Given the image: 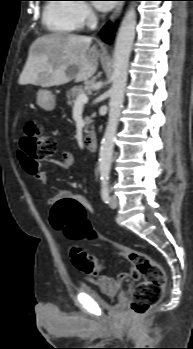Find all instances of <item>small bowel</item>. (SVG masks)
Listing matches in <instances>:
<instances>
[{
  "instance_id": "c3829d8e",
  "label": "small bowel",
  "mask_w": 193,
  "mask_h": 349,
  "mask_svg": "<svg viewBox=\"0 0 193 349\" xmlns=\"http://www.w3.org/2000/svg\"><path fill=\"white\" fill-rule=\"evenodd\" d=\"M19 158L23 168L28 174L33 176L38 181L45 183L46 174L44 171H42L39 167L35 170L29 169L26 165V160L21 153ZM49 162L56 164L64 169H71L74 165L75 159L70 151L64 150L62 152V158L60 160L52 159ZM64 200H74L80 203L86 210L90 212L92 211L91 203L85 195L73 192L68 189H62L58 191V193L55 196L47 200V204H55ZM138 276L139 274L137 270L134 267H131L128 271L118 273L116 277L101 276L97 279L90 278V280L93 283H95L99 288H101L104 292L108 294H113L120 288L124 281L128 279H137Z\"/></svg>"
}]
</instances>
